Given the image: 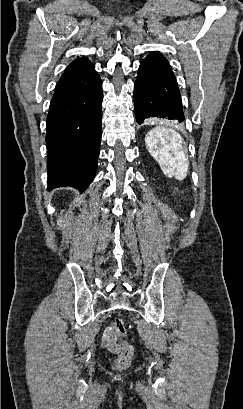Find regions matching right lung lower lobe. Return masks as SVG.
<instances>
[{
    "label": "right lung lower lobe",
    "mask_w": 243,
    "mask_h": 409,
    "mask_svg": "<svg viewBox=\"0 0 243 409\" xmlns=\"http://www.w3.org/2000/svg\"><path fill=\"white\" fill-rule=\"evenodd\" d=\"M94 65L61 76L47 116L48 190L84 191L95 177L102 136V81Z\"/></svg>",
    "instance_id": "1"
}]
</instances>
